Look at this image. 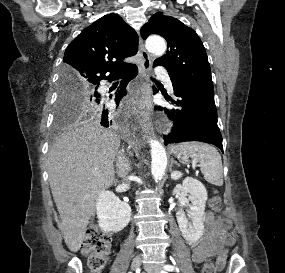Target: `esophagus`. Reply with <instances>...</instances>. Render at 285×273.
Segmentation results:
<instances>
[{
    "label": "esophagus",
    "instance_id": "1",
    "mask_svg": "<svg viewBox=\"0 0 285 273\" xmlns=\"http://www.w3.org/2000/svg\"><path fill=\"white\" fill-rule=\"evenodd\" d=\"M138 54L142 59L140 65V74H141V93L143 99V105H142L143 111L139 115V120L143 131L148 133L152 129V122L150 119V115L152 112L153 105L151 97V87L147 78V74L150 72L152 60L150 55L146 51L141 38L139 39Z\"/></svg>",
    "mask_w": 285,
    "mask_h": 273
}]
</instances>
